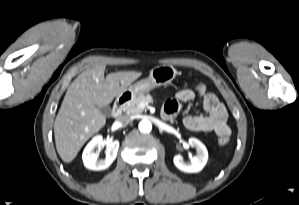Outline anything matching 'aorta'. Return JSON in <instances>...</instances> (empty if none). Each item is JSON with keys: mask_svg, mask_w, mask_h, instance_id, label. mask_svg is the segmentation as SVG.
<instances>
[{"mask_svg": "<svg viewBox=\"0 0 299 205\" xmlns=\"http://www.w3.org/2000/svg\"><path fill=\"white\" fill-rule=\"evenodd\" d=\"M139 130L142 133H149L152 130V124L148 120H142L139 123Z\"/></svg>", "mask_w": 299, "mask_h": 205, "instance_id": "1", "label": "aorta"}]
</instances>
